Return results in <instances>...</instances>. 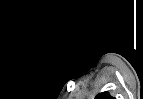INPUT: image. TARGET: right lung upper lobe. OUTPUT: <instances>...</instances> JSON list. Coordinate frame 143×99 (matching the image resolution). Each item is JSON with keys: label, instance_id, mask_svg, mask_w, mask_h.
<instances>
[{"label": "right lung upper lobe", "instance_id": "cb5924a9", "mask_svg": "<svg viewBox=\"0 0 143 99\" xmlns=\"http://www.w3.org/2000/svg\"><path fill=\"white\" fill-rule=\"evenodd\" d=\"M95 99H114L108 92L98 94Z\"/></svg>", "mask_w": 143, "mask_h": 99}]
</instances>
